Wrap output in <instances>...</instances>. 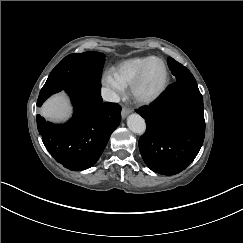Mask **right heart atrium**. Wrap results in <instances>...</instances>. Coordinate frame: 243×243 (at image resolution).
I'll list each match as a JSON object with an SVG mask.
<instances>
[{"label": "right heart atrium", "mask_w": 243, "mask_h": 243, "mask_svg": "<svg viewBox=\"0 0 243 243\" xmlns=\"http://www.w3.org/2000/svg\"><path fill=\"white\" fill-rule=\"evenodd\" d=\"M100 86L104 98L112 103L125 99L126 89L119 81L113 67H106L100 73Z\"/></svg>", "instance_id": "1"}]
</instances>
